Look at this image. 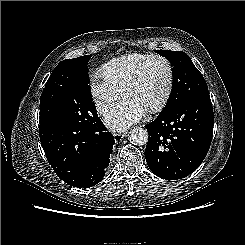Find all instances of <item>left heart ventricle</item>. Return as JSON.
<instances>
[{"label": "left heart ventricle", "instance_id": "left-heart-ventricle-1", "mask_svg": "<svg viewBox=\"0 0 245 245\" xmlns=\"http://www.w3.org/2000/svg\"><path fill=\"white\" fill-rule=\"evenodd\" d=\"M167 81L166 65L160 60H153L146 67L140 81L128 91L126 97L133 98L148 110L164 95Z\"/></svg>", "mask_w": 245, "mask_h": 245}]
</instances>
